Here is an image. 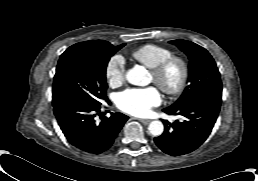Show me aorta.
<instances>
[{
  "instance_id": "obj_1",
  "label": "aorta",
  "mask_w": 258,
  "mask_h": 181,
  "mask_svg": "<svg viewBox=\"0 0 258 181\" xmlns=\"http://www.w3.org/2000/svg\"><path fill=\"white\" fill-rule=\"evenodd\" d=\"M147 71L143 66H135L127 71L126 79L130 84L137 86L146 85ZM149 132L154 136H159L164 131V126L161 121H152L148 126Z\"/></svg>"
}]
</instances>
